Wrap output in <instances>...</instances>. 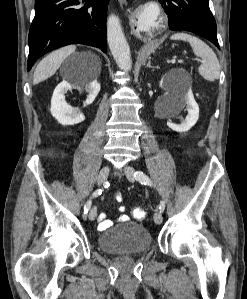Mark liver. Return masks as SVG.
Listing matches in <instances>:
<instances>
[{"mask_svg": "<svg viewBox=\"0 0 247 299\" xmlns=\"http://www.w3.org/2000/svg\"><path fill=\"white\" fill-rule=\"evenodd\" d=\"M75 49V45L65 46L51 52L43 58L34 71L33 84L36 85L53 76L59 69L61 63L72 54Z\"/></svg>", "mask_w": 247, "mask_h": 299, "instance_id": "liver-1", "label": "liver"}]
</instances>
